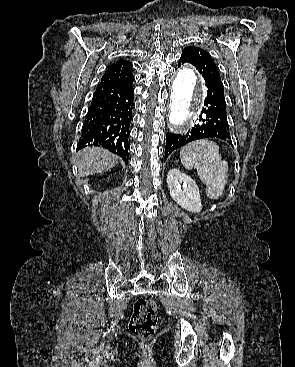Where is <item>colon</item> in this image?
<instances>
[{
  "mask_svg": "<svg viewBox=\"0 0 295 367\" xmlns=\"http://www.w3.org/2000/svg\"><path fill=\"white\" fill-rule=\"evenodd\" d=\"M156 309L157 305L154 300L150 298L137 299L129 323L130 331L142 339L152 337L157 324Z\"/></svg>",
  "mask_w": 295,
  "mask_h": 367,
  "instance_id": "colon-1",
  "label": "colon"
}]
</instances>
